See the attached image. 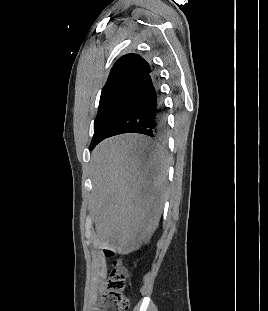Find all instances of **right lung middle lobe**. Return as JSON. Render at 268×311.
I'll return each instance as SVG.
<instances>
[{"mask_svg": "<svg viewBox=\"0 0 268 311\" xmlns=\"http://www.w3.org/2000/svg\"><path fill=\"white\" fill-rule=\"evenodd\" d=\"M135 87L136 84L125 85L100 97L99 109L94 121V136L90 147L101 139L106 128L131 98Z\"/></svg>", "mask_w": 268, "mask_h": 311, "instance_id": "dd1d6c3e", "label": "right lung middle lobe"}]
</instances>
